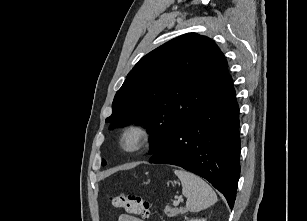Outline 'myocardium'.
I'll return each instance as SVG.
<instances>
[{"label": "myocardium", "mask_w": 307, "mask_h": 221, "mask_svg": "<svg viewBox=\"0 0 307 221\" xmlns=\"http://www.w3.org/2000/svg\"><path fill=\"white\" fill-rule=\"evenodd\" d=\"M151 130L144 122L131 123L124 128L119 138V146L123 152L134 154L141 151L148 143Z\"/></svg>", "instance_id": "1"}]
</instances>
